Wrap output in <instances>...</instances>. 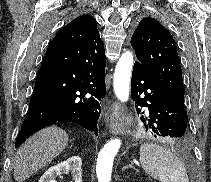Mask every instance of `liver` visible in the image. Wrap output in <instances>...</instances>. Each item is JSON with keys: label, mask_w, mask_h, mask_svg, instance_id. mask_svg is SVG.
<instances>
[{"label": "liver", "mask_w": 211, "mask_h": 182, "mask_svg": "<svg viewBox=\"0 0 211 182\" xmlns=\"http://www.w3.org/2000/svg\"><path fill=\"white\" fill-rule=\"evenodd\" d=\"M68 135L59 127H47L23 143L15 156L14 178L23 182L50 163L67 146Z\"/></svg>", "instance_id": "6515ba94"}]
</instances>
